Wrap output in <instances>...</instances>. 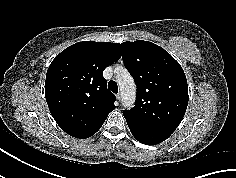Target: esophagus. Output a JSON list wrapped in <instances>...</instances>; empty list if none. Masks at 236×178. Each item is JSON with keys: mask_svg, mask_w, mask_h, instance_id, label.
I'll return each instance as SVG.
<instances>
[{"mask_svg": "<svg viewBox=\"0 0 236 178\" xmlns=\"http://www.w3.org/2000/svg\"><path fill=\"white\" fill-rule=\"evenodd\" d=\"M116 98H117L118 101L121 100V95H120V93H117V94H116Z\"/></svg>", "mask_w": 236, "mask_h": 178, "instance_id": "1", "label": "esophagus"}]
</instances>
